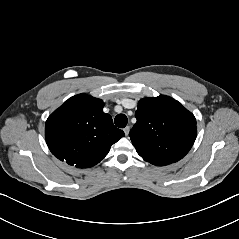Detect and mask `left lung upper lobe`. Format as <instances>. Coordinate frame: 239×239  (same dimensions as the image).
Listing matches in <instances>:
<instances>
[{
    "instance_id": "5c2ea615",
    "label": "left lung upper lobe",
    "mask_w": 239,
    "mask_h": 239,
    "mask_svg": "<svg viewBox=\"0 0 239 239\" xmlns=\"http://www.w3.org/2000/svg\"><path fill=\"white\" fill-rule=\"evenodd\" d=\"M135 117L137 122L129 136L138 154L151 164L177 162L194 144L197 135L194 115L169 96L141 99Z\"/></svg>"
}]
</instances>
